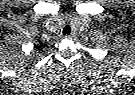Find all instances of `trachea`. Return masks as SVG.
Wrapping results in <instances>:
<instances>
[{
    "label": "trachea",
    "instance_id": "obj_1",
    "mask_svg": "<svg viewBox=\"0 0 135 95\" xmlns=\"http://www.w3.org/2000/svg\"><path fill=\"white\" fill-rule=\"evenodd\" d=\"M62 33L63 35H69L71 33V27L69 25L65 26Z\"/></svg>",
    "mask_w": 135,
    "mask_h": 95
}]
</instances>
